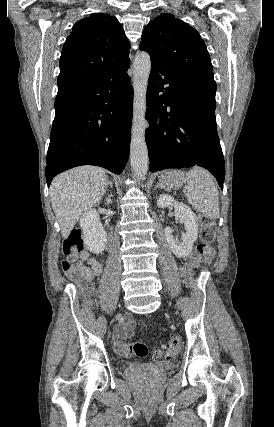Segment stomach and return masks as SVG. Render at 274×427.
Here are the masks:
<instances>
[{
    "mask_svg": "<svg viewBox=\"0 0 274 427\" xmlns=\"http://www.w3.org/2000/svg\"><path fill=\"white\" fill-rule=\"evenodd\" d=\"M186 178L182 170H171V172H163L159 178V186L165 190H177L185 184Z\"/></svg>",
    "mask_w": 274,
    "mask_h": 427,
    "instance_id": "obj_1",
    "label": "stomach"
}]
</instances>
